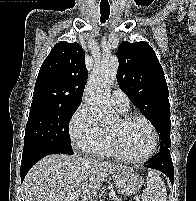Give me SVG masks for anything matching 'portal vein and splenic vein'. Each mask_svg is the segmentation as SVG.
<instances>
[{"label":"portal vein and splenic vein","mask_w":196,"mask_h":201,"mask_svg":"<svg viewBox=\"0 0 196 201\" xmlns=\"http://www.w3.org/2000/svg\"><path fill=\"white\" fill-rule=\"evenodd\" d=\"M78 196H79V193H75L72 198H77Z\"/></svg>","instance_id":"obj_1"}]
</instances>
